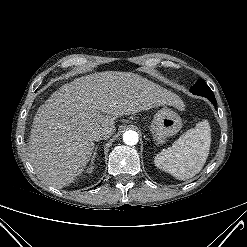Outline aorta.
<instances>
[{
	"label": "aorta",
	"mask_w": 247,
	"mask_h": 247,
	"mask_svg": "<svg viewBox=\"0 0 247 247\" xmlns=\"http://www.w3.org/2000/svg\"><path fill=\"white\" fill-rule=\"evenodd\" d=\"M123 141L127 145H135L138 143V134L136 131L128 130L123 134Z\"/></svg>",
	"instance_id": "762f6f07"
}]
</instances>
